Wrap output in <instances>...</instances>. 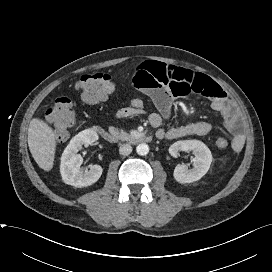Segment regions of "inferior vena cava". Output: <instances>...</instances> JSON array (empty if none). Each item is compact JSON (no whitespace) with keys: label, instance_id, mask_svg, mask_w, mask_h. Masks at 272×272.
Instances as JSON below:
<instances>
[{"label":"inferior vena cava","instance_id":"inferior-vena-cava-1","mask_svg":"<svg viewBox=\"0 0 272 272\" xmlns=\"http://www.w3.org/2000/svg\"><path fill=\"white\" fill-rule=\"evenodd\" d=\"M131 152H132V147H131L130 144H122V145L119 147V153H120L121 155L127 156V155H129Z\"/></svg>","mask_w":272,"mask_h":272}]
</instances>
